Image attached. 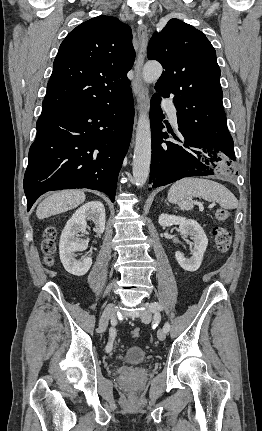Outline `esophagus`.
Listing matches in <instances>:
<instances>
[{"mask_svg":"<svg viewBox=\"0 0 262 431\" xmlns=\"http://www.w3.org/2000/svg\"><path fill=\"white\" fill-rule=\"evenodd\" d=\"M148 44V29L145 25H140L137 29V59L134 66V79L132 87L137 98V110L139 112L147 110L148 93L143 84L142 68Z\"/></svg>","mask_w":262,"mask_h":431,"instance_id":"esophagus-1","label":"esophagus"}]
</instances>
